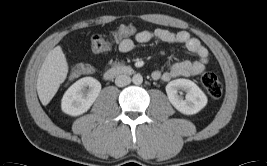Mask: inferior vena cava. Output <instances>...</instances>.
<instances>
[{
	"label": "inferior vena cava",
	"mask_w": 267,
	"mask_h": 166,
	"mask_svg": "<svg viewBox=\"0 0 267 166\" xmlns=\"http://www.w3.org/2000/svg\"><path fill=\"white\" fill-rule=\"evenodd\" d=\"M130 82H131V78L127 75H119L115 79V84L118 87H124V86L130 84Z\"/></svg>",
	"instance_id": "602c4592"
}]
</instances>
